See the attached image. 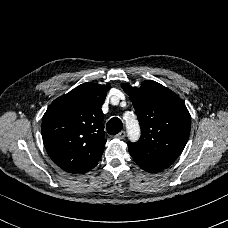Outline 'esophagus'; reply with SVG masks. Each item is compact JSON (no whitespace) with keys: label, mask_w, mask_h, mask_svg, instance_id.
Wrapping results in <instances>:
<instances>
[{"label":"esophagus","mask_w":228,"mask_h":228,"mask_svg":"<svg viewBox=\"0 0 228 228\" xmlns=\"http://www.w3.org/2000/svg\"><path fill=\"white\" fill-rule=\"evenodd\" d=\"M125 136H126V132L125 131H121V132H119L117 135H115V138L116 139H124L125 138Z\"/></svg>","instance_id":"34e87169"}]
</instances>
